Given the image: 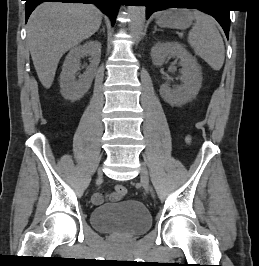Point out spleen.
Segmentation results:
<instances>
[{
  "instance_id": "1",
  "label": "spleen",
  "mask_w": 259,
  "mask_h": 266,
  "mask_svg": "<svg viewBox=\"0 0 259 266\" xmlns=\"http://www.w3.org/2000/svg\"><path fill=\"white\" fill-rule=\"evenodd\" d=\"M190 14L196 23L189 32L188 43L195 54L213 70H220L225 59V48L215 21L209 15L198 10H194Z\"/></svg>"
}]
</instances>
